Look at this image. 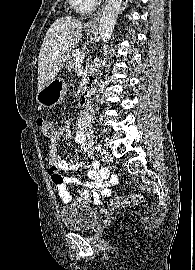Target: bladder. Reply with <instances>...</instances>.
Here are the masks:
<instances>
[{
  "label": "bladder",
  "instance_id": "1",
  "mask_svg": "<svg viewBox=\"0 0 195 270\" xmlns=\"http://www.w3.org/2000/svg\"><path fill=\"white\" fill-rule=\"evenodd\" d=\"M99 217V211L88 204H69L60 210L65 229L72 232H90L98 223Z\"/></svg>",
  "mask_w": 195,
  "mask_h": 270
}]
</instances>
